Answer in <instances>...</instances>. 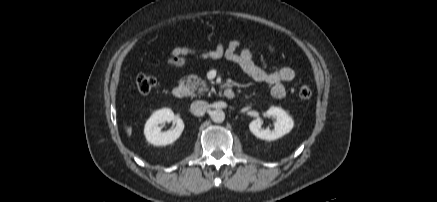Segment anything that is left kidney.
I'll use <instances>...</instances> for the list:
<instances>
[{
	"mask_svg": "<svg viewBox=\"0 0 437 202\" xmlns=\"http://www.w3.org/2000/svg\"><path fill=\"white\" fill-rule=\"evenodd\" d=\"M265 114L275 117L276 123L273 130H268L261 128L263 123L261 118L251 121L249 129L257 138L268 141L276 140L292 130L294 122L283 109L272 106Z\"/></svg>",
	"mask_w": 437,
	"mask_h": 202,
	"instance_id": "5707ae66",
	"label": "left kidney"
}]
</instances>
